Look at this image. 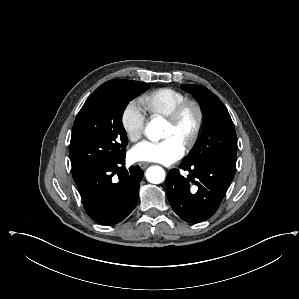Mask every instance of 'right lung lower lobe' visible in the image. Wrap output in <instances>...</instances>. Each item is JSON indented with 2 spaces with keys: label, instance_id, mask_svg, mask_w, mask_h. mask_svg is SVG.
I'll return each mask as SVG.
<instances>
[{
  "label": "right lung lower lobe",
  "instance_id": "obj_1",
  "mask_svg": "<svg viewBox=\"0 0 299 299\" xmlns=\"http://www.w3.org/2000/svg\"><path fill=\"white\" fill-rule=\"evenodd\" d=\"M125 154L113 163L96 168L76 181L84 209L90 218L103 225L124 220L134 209L143 171L138 167L126 169ZM117 174L118 182L112 177Z\"/></svg>",
  "mask_w": 299,
  "mask_h": 299
}]
</instances>
